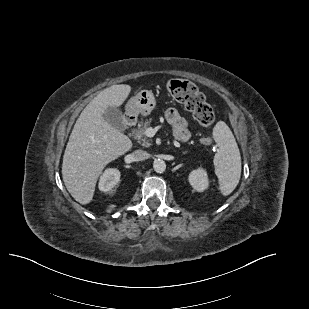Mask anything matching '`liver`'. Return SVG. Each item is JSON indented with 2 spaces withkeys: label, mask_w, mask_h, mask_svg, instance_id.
Instances as JSON below:
<instances>
[{
  "label": "liver",
  "mask_w": 309,
  "mask_h": 309,
  "mask_svg": "<svg viewBox=\"0 0 309 309\" xmlns=\"http://www.w3.org/2000/svg\"><path fill=\"white\" fill-rule=\"evenodd\" d=\"M130 91L125 84L102 90L74 125L63 156L62 177L68 192L80 204L92 201L105 166L132 148V141L103 117L108 107L121 106Z\"/></svg>",
  "instance_id": "liver-1"
}]
</instances>
